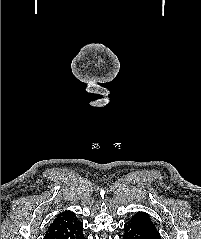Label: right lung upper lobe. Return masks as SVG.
Returning <instances> with one entry per match:
<instances>
[{"mask_svg":"<svg viewBox=\"0 0 201 239\" xmlns=\"http://www.w3.org/2000/svg\"><path fill=\"white\" fill-rule=\"evenodd\" d=\"M83 224L71 211L59 213L48 227L44 239H81Z\"/></svg>","mask_w":201,"mask_h":239,"instance_id":"1","label":"right lung upper lobe"}]
</instances>
